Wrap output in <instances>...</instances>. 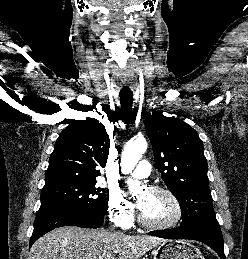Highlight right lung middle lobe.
<instances>
[{
    "mask_svg": "<svg viewBox=\"0 0 248 259\" xmlns=\"http://www.w3.org/2000/svg\"><path fill=\"white\" fill-rule=\"evenodd\" d=\"M106 200L104 190L96 187V180L46 183L41 191V207L73 209L90 217L107 213Z\"/></svg>",
    "mask_w": 248,
    "mask_h": 259,
    "instance_id": "dd1d6c3e",
    "label": "right lung middle lobe"
}]
</instances>
